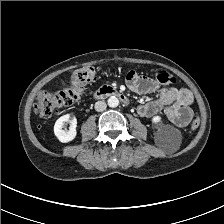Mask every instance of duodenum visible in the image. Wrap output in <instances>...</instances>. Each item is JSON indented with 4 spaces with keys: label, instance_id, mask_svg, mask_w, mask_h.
<instances>
[{
    "label": "duodenum",
    "instance_id": "410a0bca",
    "mask_svg": "<svg viewBox=\"0 0 224 224\" xmlns=\"http://www.w3.org/2000/svg\"><path fill=\"white\" fill-rule=\"evenodd\" d=\"M115 96L119 98L125 105H129L128 97L121 91L112 88L110 86H104L100 90L94 93L93 98L98 100L105 97Z\"/></svg>",
    "mask_w": 224,
    "mask_h": 224
}]
</instances>
